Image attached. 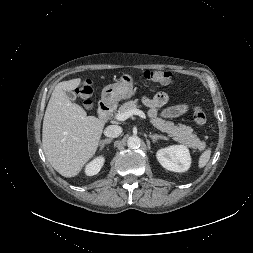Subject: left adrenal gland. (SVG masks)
<instances>
[{
  "label": "left adrenal gland",
  "mask_w": 253,
  "mask_h": 253,
  "mask_svg": "<svg viewBox=\"0 0 253 253\" xmlns=\"http://www.w3.org/2000/svg\"><path fill=\"white\" fill-rule=\"evenodd\" d=\"M149 137L152 139V142L155 143L158 139L168 140L166 136L158 134H149Z\"/></svg>",
  "instance_id": "obj_1"
}]
</instances>
